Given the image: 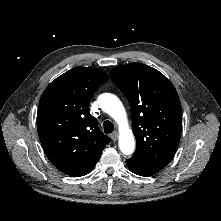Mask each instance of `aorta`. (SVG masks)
Here are the masks:
<instances>
[{
  "label": "aorta",
  "instance_id": "obj_1",
  "mask_svg": "<svg viewBox=\"0 0 221 221\" xmlns=\"http://www.w3.org/2000/svg\"><path fill=\"white\" fill-rule=\"evenodd\" d=\"M98 104L118 124L120 150L125 155H131L135 149L134 135L128 126L126 111L122 102L114 94L103 93L98 97Z\"/></svg>",
  "mask_w": 221,
  "mask_h": 221
}]
</instances>
